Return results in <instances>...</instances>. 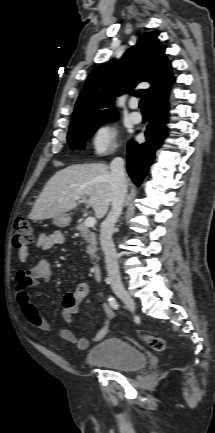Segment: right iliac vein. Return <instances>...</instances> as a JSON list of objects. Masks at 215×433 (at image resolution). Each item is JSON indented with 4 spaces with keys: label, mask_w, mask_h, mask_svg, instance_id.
<instances>
[{
    "label": "right iliac vein",
    "mask_w": 215,
    "mask_h": 433,
    "mask_svg": "<svg viewBox=\"0 0 215 433\" xmlns=\"http://www.w3.org/2000/svg\"><path fill=\"white\" fill-rule=\"evenodd\" d=\"M118 297L131 309L135 310L134 299L126 291L117 292Z\"/></svg>",
    "instance_id": "right-iliac-vein-1"
}]
</instances>
